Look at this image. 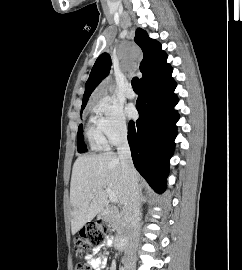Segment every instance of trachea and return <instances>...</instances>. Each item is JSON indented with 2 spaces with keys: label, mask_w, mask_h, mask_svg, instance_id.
Returning a JSON list of instances; mask_svg holds the SVG:
<instances>
[{
  "label": "trachea",
  "mask_w": 242,
  "mask_h": 270,
  "mask_svg": "<svg viewBox=\"0 0 242 270\" xmlns=\"http://www.w3.org/2000/svg\"><path fill=\"white\" fill-rule=\"evenodd\" d=\"M132 87H133L135 92L140 91V81H139V79L137 77H134L132 79Z\"/></svg>",
  "instance_id": "obj_1"
}]
</instances>
